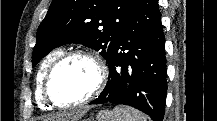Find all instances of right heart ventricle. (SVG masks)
<instances>
[{
  "label": "right heart ventricle",
  "instance_id": "e07e8e85",
  "mask_svg": "<svg viewBox=\"0 0 217 121\" xmlns=\"http://www.w3.org/2000/svg\"><path fill=\"white\" fill-rule=\"evenodd\" d=\"M64 53L62 49H56L50 52L40 64L37 76H36V91L35 97L38 105L42 108H48V104L44 94H43V84L47 71L51 65Z\"/></svg>",
  "mask_w": 217,
  "mask_h": 121
}]
</instances>
